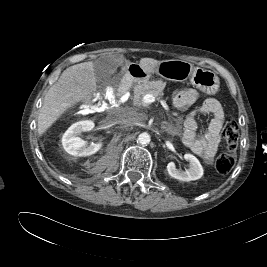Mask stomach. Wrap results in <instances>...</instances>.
<instances>
[{
    "instance_id": "0dacf381",
    "label": "stomach",
    "mask_w": 267,
    "mask_h": 267,
    "mask_svg": "<svg viewBox=\"0 0 267 267\" xmlns=\"http://www.w3.org/2000/svg\"><path fill=\"white\" fill-rule=\"evenodd\" d=\"M140 70L135 75L129 73V76L135 81L143 82L149 78V75L139 65ZM155 73L168 80H190V83L200 91L214 95L219 89V78L210 70L200 67H194L191 63L184 60H165L161 61L156 68Z\"/></svg>"
}]
</instances>
